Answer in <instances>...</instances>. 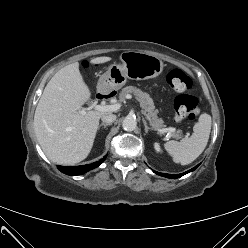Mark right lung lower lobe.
Wrapping results in <instances>:
<instances>
[{
    "label": "right lung lower lobe",
    "instance_id": "obj_1",
    "mask_svg": "<svg viewBox=\"0 0 248 248\" xmlns=\"http://www.w3.org/2000/svg\"><path fill=\"white\" fill-rule=\"evenodd\" d=\"M106 157L107 155L97 162L83 165V166H59L58 165V169L67 175H81L98 167L106 159Z\"/></svg>",
    "mask_w": 248,
    "mask_h": 248
}]
</instances>
